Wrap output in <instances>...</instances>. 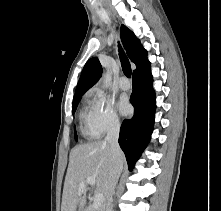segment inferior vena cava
Wrapping results in <instances>:
<instances>
[{"mask_svg":"<svg viewBox=\"0 0 221 211\" xmlns=\"http://www.w3.org/2000/svg\"><path fill=\"white\" fill-rule=\"evenodd\" d=\"M119 131L120 124L117 120H114L110 123V126L107 131V136L105 138V142L108 143L111 147L112 157L114 160V167L108 183V192L106 196V202L104 204V211H113V194L123 168V153L118 143Z\"/></svg>","mask_w":221,"mask_h":211,"instance_id":"inferior-vena-cava-1","label":"inferior vena cava"}]
</instances>
